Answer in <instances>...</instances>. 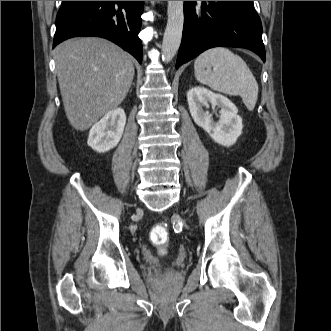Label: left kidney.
<instances>
[{
    "label": "left kidney",
    "instance_id": "left-kidney-1",
    "mask_svg": "<svg viewBox=\"0 0 331 331\" xmlns=\"http://www.w3.org/2000/svg\"><path fill=\"white\" fill-rule=\"evenodd\" d=\"M189 110L194 122L202 127L218 144L230 147L242 133V118L237 114L236 106L225 96L215 94L203 87L191 88L187 93ZM220 108L218 122L205 108Z\"/></svg>",
    "mask_w": 331,
    "mask_h": 331
}]
</instances>
